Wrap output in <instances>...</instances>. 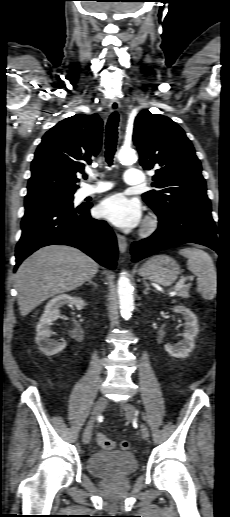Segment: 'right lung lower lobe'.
I'll use <instances>...</instances> for the list:
<instances>
[{
    "mask_svg": "<svg viewBox=\"0 0 230 517\" xmlns=\"http://www.w3.org/2000/svg\"><path fill=\"white\" fill-rule=\"evenodd\" d=\"M90 206H26L22 236L16 246V265L40 247L62 244L76 247L109 269H115L116 237L105 221L91 218Z\"/></svg>",
    "mask_w": 230,
    "mask_h": 517,
    "instance_id": "98d812e1",
    "label": "right lung lower lobe"
}]
</instances>
